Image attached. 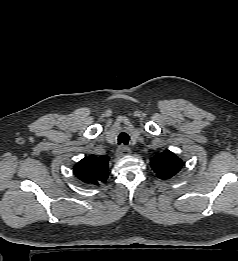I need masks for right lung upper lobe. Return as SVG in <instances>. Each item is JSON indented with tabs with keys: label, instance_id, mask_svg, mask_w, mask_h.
<instances>
[{
	"label": "right lung upper lobe",
	"instance_id": "right-lung-upper-lobe-1",
	"mask_svg": "<svg viewBox=\"0 0 238 261\" xmlns=\"http://www.w3.org/2000/svg\"><path fill=\"white\" fill-rule=\"evenodd\" d=\"M108 156L85 157L73 168L75 175L83 182L98 185L108 178Z\"/></svg>",
	"mask_w": 238,
	"mask_h": 261
}]
</instances>
